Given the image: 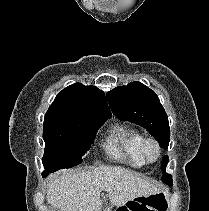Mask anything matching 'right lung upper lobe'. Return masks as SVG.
<instances>
[{
    "mask_svg": "<svg viewBox=\"0 0 209 211\" xmlns=\"http://www.w3.org/2000/svg\"><path fill=\"white\" fill-rule=\"evenodd\" d=\"M110 117L104 92L95 86L76 83L56 96L45 114L44 124H67Z\"/></svg>",
    "mask_w": 209,
    "mask_h": 211,
    "instance_id": "1",
    "label": "right lung upper lobe"
}]
</instances>
